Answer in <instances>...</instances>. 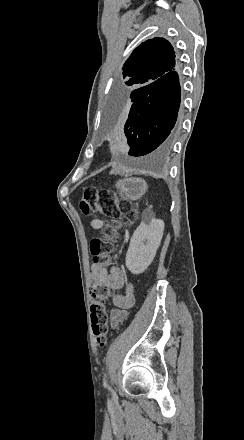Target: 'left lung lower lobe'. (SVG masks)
Returning a JSON list of instances; mask_svg holds the SVG:
<instances>
[{"label":"left lung lower lobe","mask_w":244,"mask_h":440,"mask_svg":"<svg viewBox=\"0 0 244 440\" xmlns=\"http://www.w3.org/2000/svg\"><path fill=\"white\" fill-rule=\"evenodd\" d=\"M180 98L175 67L154 82L117 98L114 110L126 118L124 131L129 155L142 156L156 149L161 152L169 149L178 134Z\"/></svg>","instance_id":"obj_1"}]
</instances>
